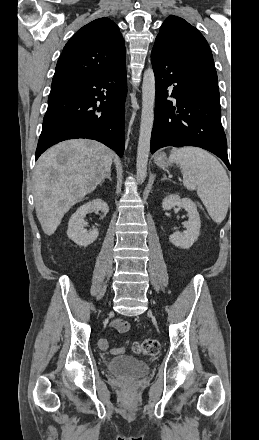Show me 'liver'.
Here are the masks:
<instances>
[{"label": "liver", "instance_id": "1", "mask_svg": "<svg viewBox=\"0 0 259 440\" xmlns=\"http://www.w3.org/2000/svg\"><path fill=\"white\" fill-rule=\"evenodd\" d=\"M113 158L111 149L89 139L63 141L39 158L34 199L46 235L54 234L69 209L105 179Z\"/></svg>", "mask_w": 259, "mask_h": 440}]
</instances>
